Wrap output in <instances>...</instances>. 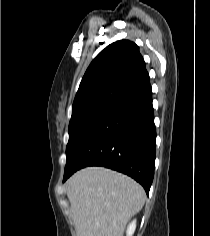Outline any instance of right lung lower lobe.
<instances>
[{
  "instance_id": "98d812e1",
  "label": "right lung lower lobe",
  "mask_w": 210,
  "mask_h": 236,
  "mask_svg": "<svg viewBox=\"0 0 210 236\" xmlns=\"http://www.w3.org/2000/svg\"><path fill=\"white\" fill-rule=\"evenodd\" d=\"M156 130L149 79L131 90L86 135L65 166L63 181L86 166L127 174L149 193L155 167Z\"/></svg>"
}]
</instances>
